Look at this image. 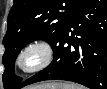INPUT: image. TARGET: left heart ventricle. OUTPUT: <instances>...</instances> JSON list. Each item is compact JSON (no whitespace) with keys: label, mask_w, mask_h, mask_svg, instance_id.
Listing matches in <instances>:
<instances>
[{"label":"left heart ventricle","mask_w":107,"mask_h":89,"mask_svg":"<svg viewBox=\"0 0 107 89\" xmlns=\"http://www.w3.org/2000/svg\"><path fill=\"white\" fill-rule=\"evenodd\" d=\"M39 60V54L37 52H30L24 59V64L27 67L35 65Z\"/></svg>","instance_id":"obj_1"}]
</instances>
